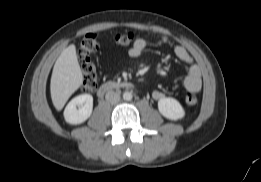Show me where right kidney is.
Masks as SVG:
<instances>
[{"instance_id": "obj_1", "label": "right kidney", "mask_w": 261, "mask_h": 182, "mask_svg": "<svg viewBox=\"0 0 261 182\" xmlns=\"http://www.w3.org/2000/svg\"><path fill=\"white\" fill-rule=\"evenodd\" d=\"M93 97L90 94H82L73 98L64 110L65 121L69 124H81L92 114Z\"/></svg>"}]
</instances>
